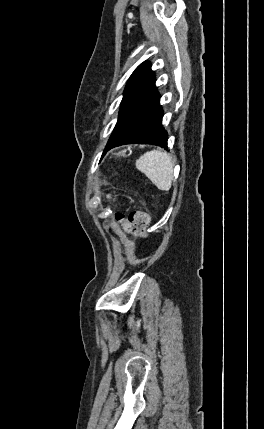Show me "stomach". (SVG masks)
I'll return each instance as SVG.
<instances>
[{
  "mask_svg": "<svg viewBox=\"0 0 264 429\" xmlns=\"http://www.w3.org/2000/svg\"><path fill=\"white\" fill-rule=\"evenodd\" d=\"M124 154H125V151H121L117 153L118 156H123Z\"/></svg>",
  "mask_w": 264,
  "mask_h": 429,
  "instance_id": "0dacf381",
  "label": "stomach"
}]
</instances>
